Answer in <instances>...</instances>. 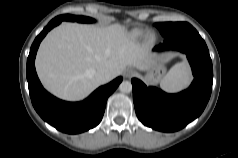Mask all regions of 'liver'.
I'll return each instance as SVG.
<instances>
[{"label":"liver","mask_w":238,"mask_h":158,"mask_svg":"<svg viewBox=\"0 0 238 158\" xmlns=\"http://www.w3.org/2000/svg\"><path fill=\"white\" fill-rule=\"evenodd\" d=\"M151 61L150 49L132 40L120 24L99 27L65 23L41 43L36 70L50 92L78 100L100 85L95 79L98 69H108L111 80L127 66L144 70Z\"/></svg>","instance_id":"1"}]
</instances>
